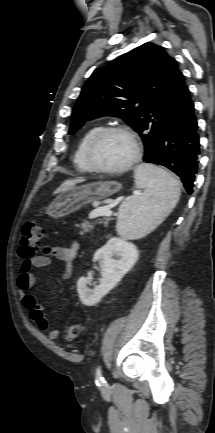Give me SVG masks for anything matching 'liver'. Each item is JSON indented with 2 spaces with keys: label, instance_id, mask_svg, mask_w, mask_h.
<instances>
[{
  "label": "liver",
  "instance_id": "obj_1",
  "mask_svg": "<svg viewBox=\"0 0 215 433\" xmlns=\"http://www.w3.org/2000/svg\"><path fill=\"white\" fill-rule=\"evenodd\" d=\"M85 181V178H76V179H72V180H67L65 182H63L54 192V194H58V193H62L65 192L69 189H71L72 187H74L76 184L78 183H82Z\"/></svg>",
  "mask_w": 215,
  "mask_h": 433
}]
</instances>
